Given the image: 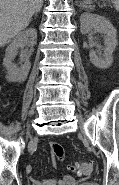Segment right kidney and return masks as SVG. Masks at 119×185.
<instances>
[{
	"label": "right kidney",
	"mask_w": 119,
	"mask_h": 185,
	"mask_svg": "<svg viewBox=\"0 0 119 185\" xmlns=\"http://www.w3.org/2000/svg\"><path fill=\"white\" fill-rule=\"evenodd\" d=\"M37 31L34 28H29L25 31L18 33L13 42L7 47L5 52V57L3 59V65L7 69V80L10 82H23L26 80L29 70L31 68V63L29 59H24L17 66L14 64V58L16 57L18 50L23 48L27 44H36Z\"/></svg>",
	"instance_id": "right-kidney-1"
}]
</instances>
